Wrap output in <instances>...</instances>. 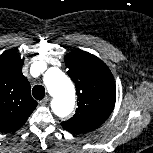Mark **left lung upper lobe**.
Returning <instances> with one entry per match:
<instances>
[{"instance_id": "1", "label": "left lung upper lobe", "mask_w": 153, "mask_h": 153, "mask_svg": "<svg viewBox=\"0 0 153 153\" xmlns=\"http://www.w3.org/2000/svg\"><path fill=\"white\" fill-rule=\"evenodd\" d=\"M68 75L75 83L78 108L62 127L80 134L95 130L113 111L116 87L107 65L98 57L82 50H74L64 57Z\"/></svg>"}]
</instances>
